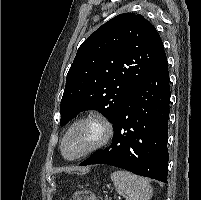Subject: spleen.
Returning a JSON list of instances; mask_svg holds the SVG:
<instances>
[{"mask_svg": "<svg viewBox=\"0 0 201 200\" xmlns=\"http://www.w3.org/2000/svg\"><path fill=\"white\" fill-rule=\"evenodd\" d=\"M111 179L118 194L126 200H150L153 189L149 181L133 173L117 170L111 174Z\"/></svg>", "mask_w": 201, "mask_h": 200, "instance_id": "3e777b00", "label": "spleen"}]
</instances>
